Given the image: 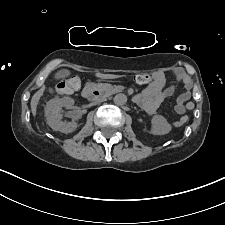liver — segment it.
I'll return each mask as SVG.
<instances>
[{
    "label": "liver",
    "mask_w": 225,
    "mask_h": 225,
    "mask_svg": "<svg viewBox=\"0 0 225 225\" xmlns=\"http://www.w3.org/2000/svg\"><path fill=\"white\" fill-rule=\"evenodd\" d=\"M97 77L102 78V79H114L117 78V76L112 75V74H101V73H97L96 74ZM46 87L45 85H43L33 96L30 102V106H31V112L32 115L35 117L36 113H37V105L39 103L40 98L43 96L44 91H45Z\"/></svg>",
    "instance_id": "1"
}]
</instances>
